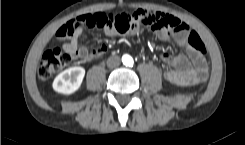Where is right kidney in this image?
<instances>
[{"mask_svg":"<svg viewBox=\"0 0 245 145\" xmlns=\"http://www.w3.org/2000/svg\"><path fill=\"white\" fill-rule=\"evenodd\" d=\"M85 76L83 67H71L56 76L52 87L62 94H72L79 89Z\"/></svg>","mask_w":245,"mask_h":145,"instance_id":"1","label":"right kidney"}]
</instances>
